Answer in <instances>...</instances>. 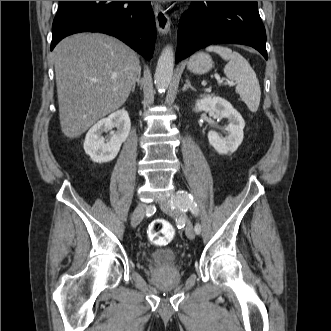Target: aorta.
I'll return each mask as SVG.
<instances>
[{"instance_id":"aorta-1","label":"aorta","mask_w":331,"mask_h":331,"mask_svg":"<svg viewBox=\"0 0 331 331\" xmlns=\"http://www.w3.org/2000/svg\"><path fill=\"white\" fill-rule=\"evenodd\" d=\"M174 69V52L171 46H166L157 63L154 79L156 88L165 91L172 80Z\"/></svg>"}]
</instances>
